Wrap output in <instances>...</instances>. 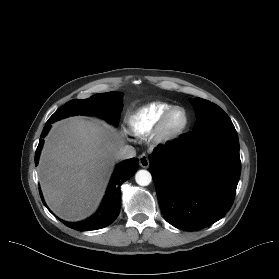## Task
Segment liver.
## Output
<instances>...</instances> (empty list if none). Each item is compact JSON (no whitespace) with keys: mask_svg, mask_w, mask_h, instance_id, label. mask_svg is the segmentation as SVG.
<instances>
[{"mask_svg":"<svg viewBox=\"0 0 279 279\" xmlns=\"http://www.w3.org/2000/svg\"><path fill=\"white\" fill-rule=\"evenodd\" d=\"M124 141L98 119L70 117L53 124L39 162L46 203L60 218L80 221L98 207Z\"/></svg>","mask_w":279,"mask_h":279,"instance_id":"1","label":"liver"}]
</instances>
